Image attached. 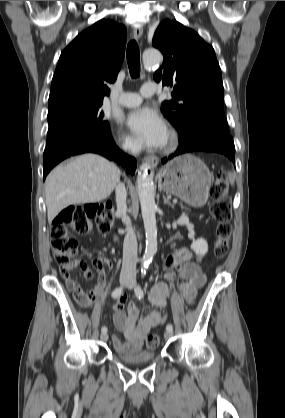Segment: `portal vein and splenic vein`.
Instances as JSON below:
<instances>
[{"label":"portal vein and splenic vein","mask_w":285,"mask_h":418,"mask_svg":"<svg viewBox=\"0 0 285 418\" xmlns=\"http://www.w3.org/2000/svg\"><path fill=\"white\" fill-rule=\"evenodd\" d=\"M173 202H174V203H177V200H176V199H174V200H173Z\"/></svg>","instance_id":"portal-vein-and-splenic-vein-1"}]
</instances>
